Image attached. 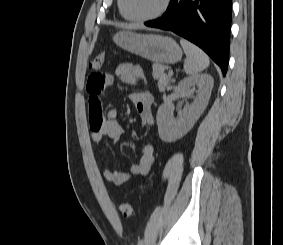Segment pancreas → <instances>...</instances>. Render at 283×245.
I'll return each instance as SVG.
<instances>
[{
	"instance_id": "1",
	"label": "pancreas",
	"mask_w": 283,
	"mask_h": 245,
	"mask_svg": "<svg viewBox=\"0 0 283 245\" xmlns=\"http://www.w3.org/2000/svg\"><path fill=\"white\" fill-rule=\"evenodd\" d=\"M165 69H167V67L161 64L153 65V77L158 81V87L160 91H165L171 78V75L164 72Z\"/></svg>"
}]
</instances>
